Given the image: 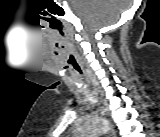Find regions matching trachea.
<instances>
[{"label": "trachea", "instance_id": "3493384b", "mask_svg": "<svg viewBox=\"0 0 160 137\" xmlns=\"http://www.w3.org/2000/svg\"><path fill=\"white\" fill-rule=\"evenodd\" d=\"M73 66H74V68L78 67V65H77V63L75 61L73 62Z\"/></svg>", "mask_w": 160, "mask_h": 137}]
</instances>
